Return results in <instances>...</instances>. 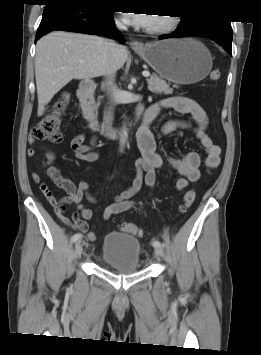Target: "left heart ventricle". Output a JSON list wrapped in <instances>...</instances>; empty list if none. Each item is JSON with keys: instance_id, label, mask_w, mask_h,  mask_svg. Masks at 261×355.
<instances>
[{"instance_id": "b2bd125f", "label": "left heart ventricle", "mask_w": 261, "mask_h": 355, "mask_svg": "<svg viewBox=\"0 0 261 355\" xmlns=\"http://www.w3.org/2000/svg\"><path fill=\"white\" fill-rule=\"evenodd\" d=\"M164 19V16L162 15H158L157 17H154L152 20V23L149 25L150 28L152 27H156L157 25H159Z\"/></svg>"}]
</instances>
